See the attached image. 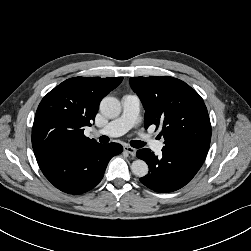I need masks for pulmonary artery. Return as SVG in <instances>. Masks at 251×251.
I'll use <instances>...</instances> for the list:
<instances>
[{"label":"pulmonary artery","mask_w":251,"mask_h":251,"mask_svg":"<svg viewBox=\"0 0 251 251\" xmlns=\"http://www.w3.org/2000/svg\"><path fill=\"white\" fill-rule=\"evenodd\" d=\"M122 114L119 118L111 121L102 129L96 130V134L110 137L120 136L132 128L137 122L140 111V99L135 94H125L122 97ZM144 141L150 145L153 151L160 153L164 147L161 140L152 139L148 135H142Z\"/></svg>","instance_id":"obj_1"}]
</instances>
